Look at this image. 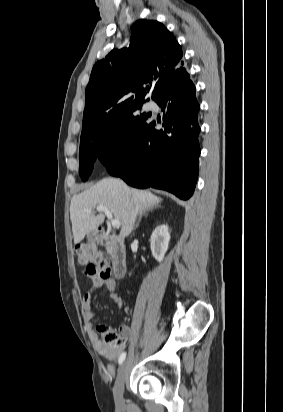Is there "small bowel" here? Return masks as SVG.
I'll list each match as a JSON object with an SVG mask.
<instances>
[{"label": "small bowel", "mask_w": 283, "mask_h": 412, "mask_svg": "<svg viewBox=\"0 0 283 412\" xmlns=\"http://www.w3.org/2000/svg\"><path fill=\"white\" fill-rule=\"evenodd\" d=\"M90 279L92 281V285L90 289L84 294L81 306H82V315L85 324V329L87 331L88 336L90 337L93 345L95 348L108 360L107 364V371L109 374L115 373V361L121 354L124 346L115 349L114 351H107L105 345L99 340L97 334L93 329V321L95 318V312L92 308V297L93 293L96 289L102 287L103 285L110 292V299L120 308L123 307L124 302L120 295L115 291L116 283L112 278H101L96 275H90ZM120 332L124 337L129 336L130 334V327L126 324H122L120 326Z\"/></svg>", "instance_id": "c3829d8e"}]
</instances>
